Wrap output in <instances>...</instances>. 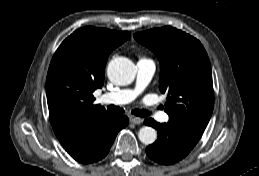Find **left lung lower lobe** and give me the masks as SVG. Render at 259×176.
Here are the masks:
<instances>
[{"label":"left lung lower lobe","instance_id":"left-lung-lower-lobe-1","mask_svg":"<svg viewBox=\"0 0 259 176\" xmlns=\"http://www.w3.org/2000/svg\"><path fill=\"white\" fill-rule=\"evenodd\" d=\"M144 123L158 131V139L146 148V154L150 159L162 165H170L182 160L194 148L202 135L175 126L171 122L160 124L152 118L145 119Z\"/></svg>","mask_w":259,"mask_h":176}]
</instances>
